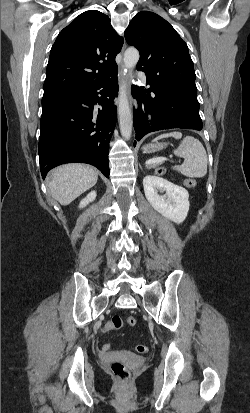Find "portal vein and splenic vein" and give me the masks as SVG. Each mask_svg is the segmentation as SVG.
Wrapping results in <instances>:
<instances>
[{
  "label": "portal vein and splenic vein",
  "instance_id": "18ae733b",
  "mask_svg": "<svg viewBox=\"0 0 250 413\" xmlns=\"http://www.w3.org/2000/svg\"><path fill=\"white\" fill-rule=\"evenodd\" d=\"M165 160H167L166 158H155V159H153L151 162H153V163H160V162H163V161H165Z\"/></svg>",
  "mask_w": 250,
  "mask_h": 413
}]
</instances>
